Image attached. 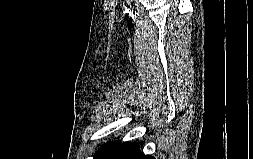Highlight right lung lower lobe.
Wrapping results in <instances>:
<instances>
[{
    "instance_id": "1",
    "label": "right lung lower lobe",
    "mask_w": 253,
    "mask_h": 159,
    "mask_svg": "<svg viewBox=\"0 0 253 159\" xmlns=\"http://www.w3.org/2000/svg\"><path fill=\"white\" fill-rule=\"evenodd\" d=\"M98 159H155L141 153L138 143H117Z\"/></svg>"
}]
</instances>
